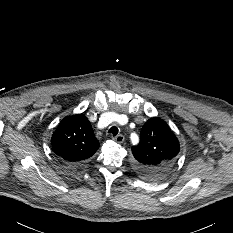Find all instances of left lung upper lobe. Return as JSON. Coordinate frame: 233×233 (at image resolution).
Instances as JSON below:
<instances>
[{
	"instance_id": "obj_1",
	"label": "left lung upper lobe",
	"mask_w": 233,
	"mask_h": 233,
	"mask_svg": "<svg viewBox=\"0 0 233 233\" xmlns=\"http://www.w3.org/2000/svg\"><path fill=\"white\" fill-rule=\"evenodd\" d=\"M179 150V141L166 122L153 117L141 129L140 143L132 148V153L141 176L159 179L173 168Z\"/></svg>"
}]
</instances>
